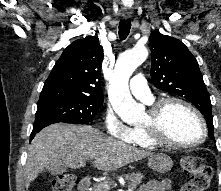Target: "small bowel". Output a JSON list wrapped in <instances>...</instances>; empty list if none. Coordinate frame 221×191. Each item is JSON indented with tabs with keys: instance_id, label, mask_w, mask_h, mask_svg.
Segmentation results:
<instances>
[{
	"instance_id": "1",
	"label": "small bowel",
	"mask_w": 221,
	"mask_h": 191,
	"mask_svg": "<svg viewBox=\"0 0 221 191\" xmlns=\"http://www.w3.org/2000/svg\"><path fill=\"white\" fill-rule=\"evenodd\" d=\"M138 191H173L172 182L170 180L148 181L144 183Z\"/></svg>"
}]
</instances>
